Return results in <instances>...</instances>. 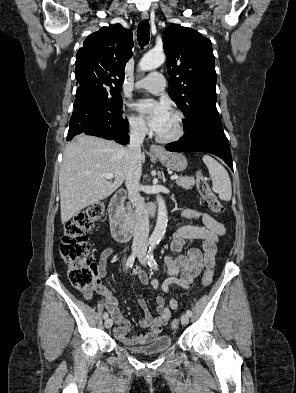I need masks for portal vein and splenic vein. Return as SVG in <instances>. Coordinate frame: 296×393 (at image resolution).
I'll return each mask as SVG.
<instances>
[{
	"instance_id": "18ae733b",
	"label": "portal vein and splenic vein",
	"mask_w": 296,
	"mask_h": 393,
	"mask_svg": "<svg viewBox=\"0 0 296 393\" xmlns=\"http://www.w3.org/2000/svg\"><path fill=\"white\" fill-rule=\"evenodd\" d=\"M102 176L105 177L108 180H111V179L114 178V175L112 173H106V174H103ZM170 179L171 180H177L178 176L177 175H173V176L170 177Z\"/></svg>"
}]
</instances>
